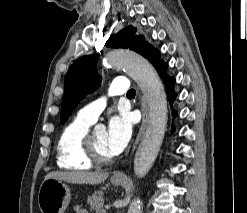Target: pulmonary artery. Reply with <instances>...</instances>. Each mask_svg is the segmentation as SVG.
<instances>
[{
  "label": "pulmonary artery",
  "mask_w": 247,
  "mask_h": 213,
  "mask_svg": "<svg viewBox=\"0 0 247 213\" xmlns=\"http://www.w3.org/2000/svg\"><path fill=\"white\" fill-rule=\"evenodd\" d=\"M128 90V80L124 77H116L108 88L107 95L116 96L126 93ZM106 104V97H102L80 109L78 112V117L94 123L101 112L105 109Z\"/></svg>",
  "instance_id": "pulmonary-artery-1"
}]
</instances>
